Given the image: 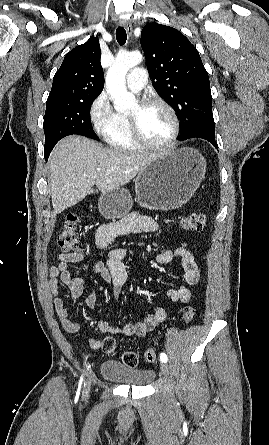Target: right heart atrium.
Segmentation results:
<instances>
[{
  "label": "right heart atrium",
  "instance_id": "right-heart-atrium-1",
  "mask_svg": "<svg viewBox=\"0 0 269 445\" xmlns=\"http://www.w3.org/2000/svg\"><path fill=\"white\" fill-rule=\"evenodd\" d=\"M114 112L111 108L106 92H101L91 103L89 108L90 120L96 130L102 131L111 121Z\"/></svg>",
  "mask_w": 269,
  "mask_h": 445
}]
</instances>
